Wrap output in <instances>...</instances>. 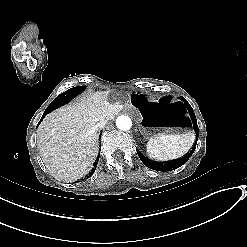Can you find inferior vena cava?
<instances>
[{
  "instance_id": "inferior-vena-cava-1",
  "label": "inferior vena cava",
  "mask_w": 247,
  "mask_h": 247,
  "mask_svg": "<svg viewBox=\"0 0 247 247\" xmlns=\"http://www.w3.org/2000/svg\"><path fill=\"white\" fill-rule=\"evenodd\" d=\"M106 121L105 120H102L100 122H98L96 125H95V129L96 130H99V129H102L105 125H106Z\"/></svg>"
}]
</instances>
